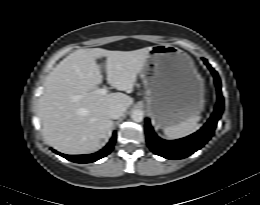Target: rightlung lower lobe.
Wrapping results in <instances>:
<instances>
[{
  "label": "right lung lower lobe",
  "mask_w": 260,
  "mask_h": 205,
  "mask_svg": "<svg viewBox=\"0 0 260 205\" xmlns=\"http://www.w3.org/2000/svg\"><path fill=\"white\" fill-rule=\"evenodd\" d=\"M116 132H114L110 142L107 144L106 147H104L102 150H100L97 153L94 154H88V155H65L59 152H56L57 154L63 156L64 158L76 162V163H91L94 162L96 160H99L103 157H105L106 155H108L111 150L113 149V145L116 141Z\"/></svg>",
  "instance_id": "right-lung-lower-lobe-1"
}]
</instances>
